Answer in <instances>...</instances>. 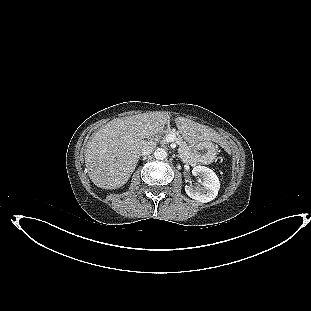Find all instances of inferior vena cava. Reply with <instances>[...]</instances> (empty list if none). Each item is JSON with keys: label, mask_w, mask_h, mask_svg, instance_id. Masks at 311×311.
Segmentation results:
<instances>
[{"label": "inferior vena cava", "mask_w": 311, "mask_h": 311, "mask_svg": "<svg viewBox=\"0 0 311 311\" xmlns=\"http://www.w3.org/2000/svg\"><path fill=\"white\" fill-rule=\"evenodd\" d=\"M155 143L150 141L146 142L141 150L142 155H149L154 151Z\"/></svg>", "instance_id": "obj_1"}]
</instances>
